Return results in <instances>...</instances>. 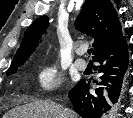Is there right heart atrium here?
I'll return each mask as SVG.
<instances>
[{"label": "right heart atrium", "mask_w": 133, "mask_h": 118, "mask_svg": "<svg viewBox=\"0 0 133 118\" xmlns=\"http://www.w3.org/2000/svg\"><path fill=\"white\" fill-rule=\"evenodd\" d=\"M62 81L61 73L55 62L43 63L37 70V83L42 91L50 92L57 89Z\"/></svg>", "instance_id": "obj_1"}]
</instances>
